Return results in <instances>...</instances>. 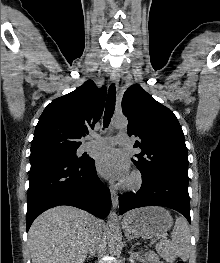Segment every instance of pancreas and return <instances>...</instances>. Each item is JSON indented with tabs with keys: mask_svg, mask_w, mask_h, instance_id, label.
<instances>
[{
	"mask_svg": "<svg viewBox=\"0 0 220 263\" xmlns=\"http://www.w3.org/2000/svg\"><path fill=\"white\" fill-rule=\"evenodd\" d=\"M158 251L165 259L173 260V257H171L172 253L170 252V248H169L168 243L160 244L158 247Z\"/></svg>",
	"mask_w": 220,
	"mask_h": 263,
	"instance_id": "1",
	"label": "pancreas"
}]
</instances>
